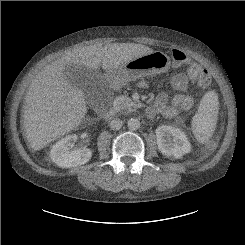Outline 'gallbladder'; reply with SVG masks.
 I'll return each instance as SVG.
<instances>
[{
  "label": "gallbladder",
  "mask_w": 245,
  "mask_h": 245,
  "mask_svg": "<svg viewBox=\"0 0 245 245\" xmlns=\"http://www.w3.org/2000/svg\"><path fill=\"white\" fill-rule=\"evenodd\" d=\"M68 82L82 91L86 102L94 110H99L110 100L102 76L97 70H89L85 66L70 65L66 68Z\"/></svg>",
  "instance_id": "obj_1"
}]
</instances>
